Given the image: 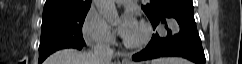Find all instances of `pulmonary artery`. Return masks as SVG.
<instances>
[{
    "instance_id": "pulmonary-artery-1",
    "label": "pulmonary artery",
    "mask_w": 242,
    "mask_h": 64,
    "mask_svg": "<svg viewBox=\"0 0 242 64\" xmlns=\"http://www.w3.org/2000/svg\"><path fill=\"white\" fill-rule=\"evenodd\" d=\"M117 3H126L128 0H116Z\"/></svg>"
}]
</instances>
